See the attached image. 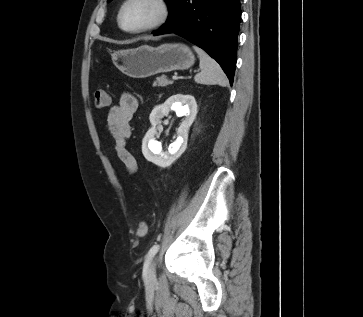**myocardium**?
I'll list each match as a JSON object with an SVG mask.
<instances>
[{"label":"myocardium","instance_id":"obj_1","mask_svg":"<svg viewBox=\"0 0 363 317\" xmlns=\"http://www.w3.org/2000/svg\"><path fill=\"white\" fill-rule=\"evenodd\" d=\"M132 1L133 0H124L122 2V4L120 5L118 14H117L118 26L120 27L121 30H123L126 33L140 34V33H145V32L155 30V29L163 26L167 22V20L170 16V6H169V3L167 2V0H151L158 7L157 16L151 22H149L146 25H143L141 27L134 28V29L125 28L122 24L123 13H124L125 8Z\"/></svg>","mask_w":363,"mask_h":317}]
</instances>
